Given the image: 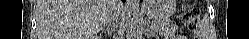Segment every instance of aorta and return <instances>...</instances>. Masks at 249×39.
Segmentation results:
<instances>
[{
	"instance_id": "762f6f07",
	"label": "aorta",
	"mask_w": 249,
	"mask_h": 39,
	"mask_svg": "<svg viewBox=\"0 0 249 39\" xmlns=\"http://www.w3.org/2000/svg\"><path fill=\"white\" fill-rule=\"evenodd\" d=\"M140 0H126V35L131 39L137 37L140 23Z\"/></svg>"
}]
</instances>
